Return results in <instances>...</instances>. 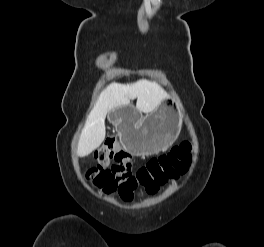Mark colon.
<instances>
[{
    "instance_id": "5ec220e1",
    "label": "colon",
    "mask_w": 264,
    "mask_h": 247,
    "mask_svg": "<svg viewBox=\"0 0 264 247\" xmlns=\"http://www.w3.org/2000/svg\"><path fill=\"white\" fill-rule=\"evenodd\" d=\"M114 142V134L109 133L105 146L96 152L97 165L86 169V177L106 193L117 194L123 200L133 199L139 188L154 193L160 185L184 174L191 161L192 146L184 142L171 152L151 159L134 173L132 156L116 148Z\"/></svg>"
}]
</instances>
